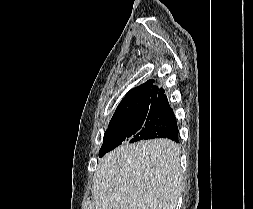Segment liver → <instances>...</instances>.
Here are the masks:
<instances>
[{"label": "liver", "mask_w": 253, "mask_h": 209, "mask_svg": "<svg viewBox=\"0 0 253 209\" xmlns=\"http://www.w3.org/2000/svg\"><path fill=\"white\" fill-rule=\"evenodd\" d=\"M183 190L180 151L168 139L123 144L94 174L95 209H175Z\"/></svg>", "instance_id": "6515ba94"}]
</instances>
